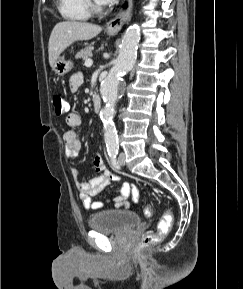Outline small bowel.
<instances>
[{
  "instance_id": "1",
  "label": "small bowel",
  "mask_w": 243,
  "mask_h": 289,
  "mask_svg": "<svg viewBox=\"0 0 243 289\" xmlns=\"http://www.w3.org/2000/svg\"><path fill=\"white\" fill-rule=\"evenodd\" d=\"M82 82V74H74L69 81L70 90L72 92H76L82 85ZM66 123L69 126V129L62 135L64 153L68 159H74L78 157L81 150V141L75 129L82 124V118L78 113L70 112L66 116ZM93 165L95 170L99 173L98 176L87 181H80L77 179L76 182L80 199L84 208L87 210H97L103 208L105 203L101 201H93L92 197L105 189L111 182L120 180V177L117 174L106 168L104 160L100 154L95 155ZM73 173L77 178L76 172L74 171ZM130 195L132 196V201L134 203L137 202L139 197L138 188L135 184L124 182L121 185L120 194L108 198L106 204L113 202L116 207L124 206L126 209H128L130 207V203L127 201V198Z\"/></svg>"
}]
</instances>
